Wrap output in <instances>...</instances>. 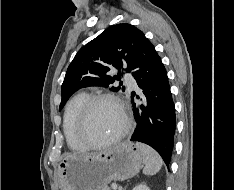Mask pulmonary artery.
<instances>
[{
  "label": "pulmonary artery",
  "instance_id": "obj_1",
  "mask_svg": "<svg viewBox=\"0 0 234 190\" xmlns=\"http://www.w3.org/2000/svg\"><path fill=\"white\" fill-rule=\"evenodd\" d=\"M126 83L130 88L132 89L136 88V83L132 78H126Z\"/></svg>",
  "mask_w": 234,
  "mask_h": 190
}]
</instances>
